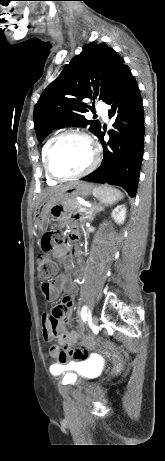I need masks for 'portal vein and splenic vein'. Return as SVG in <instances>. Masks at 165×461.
Masks as SVG:
<instances>
[{
    "label": "portal vein and splenic vein",
    "mask_w": 165,
    "mask_h": 461,
    "mask_svg": "<svg viewBox=\"0 0 165 461\" xmlns=\"http://www.w3.org/2000/svg\"><path fill=\"white\" fill-rule=\"evenodd\" d=\"M79 203L82 205V207L79 209V211H85L86 208L91 207V204H89L88 202L79 201Z\"/></svg>",
    "instance_id": "1"
}]
</instances>
